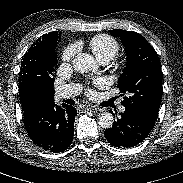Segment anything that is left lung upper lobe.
<instances>
[{"mask_svg":"<svg viewBox=\"0 0 183 183\" xmlns=\"http://www.w3.org/2000/svg\"><path fill=\"white\" fill-rule=\"evenodd\" d=\"M120 37L127 55L126 67L119 77L118 88L124 97L121 104L140 110L154 119L162 99V72L158 54L147 40L133 31L110 30Z\"/></svg>","mask_w":183,"mask_h":183,"instance_id":"left-lung-upper-lobe-1","label":"left lung upper lobe"}]
</instances>
